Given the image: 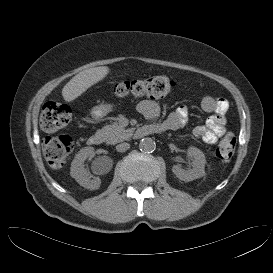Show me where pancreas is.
I'll return each instance as SVG.
<instances>
[{"label":"pancreas","mask_w":273,"mask_h":273,"mask_svg":"<svg viewBox=\"0 0 273 273\" xmlns=\"http://www.w3.org/2000/svg\"><path fill=\"white\" fill-rule=\"evenodd\" d=\"M108 144H115L117 142L127 140L132 135V129H125L119 123L114 122L106 125L101 129Z\"/></svg>","instance_id":"cf45deb5"}]
</instances>
